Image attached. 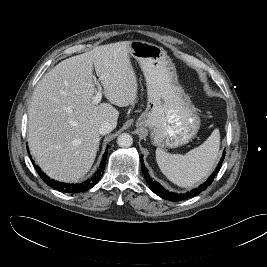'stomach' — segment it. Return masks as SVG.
<instances>
[{
	"mask_svg": "<svg viewBox=\"0 0 267 267\" xmlns=\"http://www.w3.org/2000/svg\"><path fill=\"white\" fill-rule=\"evenodd\" d=\"M129 54L138 61L147 86V108L136 126L149 129L156 146L187 144L198 133L200 118L179 84L171 58L162 47L140 40L130 42Z\"/></svg>",
	"mask_w": 267,
	"mask_h": 267,
	"instance_id": "0dacf381",
	"label": "stomach"
}]
</instances>
